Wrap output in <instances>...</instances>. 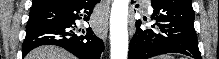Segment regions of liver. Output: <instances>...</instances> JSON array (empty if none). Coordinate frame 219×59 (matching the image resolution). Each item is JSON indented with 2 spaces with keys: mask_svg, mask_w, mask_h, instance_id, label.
<instances>
[{
  "mask_svg": "<svg viewBox=\"0 0 219 59\" xmlns=\"http://www.w3.org/2000/svg\"><path fill=\"white\" fill-rule=\"evenodd\" d=\"M25 59H76L66 50L56 46H40L27 54Z\"/></svg>",
  "mask_w": 219,
  "mask_h": 59,
  "instance_id": "liver-1",
  "label": "liver"
}]
</instances>
